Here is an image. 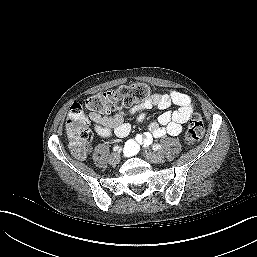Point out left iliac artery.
Returning a JSON list of instances; mask_svg holds the SVG:
<instances>
[{"instance_id": "obj_1", "label": "left iliac artery", "mask_w": 257, "mask_h": 257, "mask_svg": "<svg viewBox=\"0 0 257 257\" xmlns=\"http://www.w3.org/2000/svg\"><path fill=\"white\" fill-rule=\"evenodd\" d=\"M162 148V146L160 144H155L152 146V149L157 151V150H160Z\"/></svg>"}]
</instances>
